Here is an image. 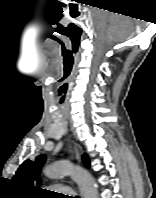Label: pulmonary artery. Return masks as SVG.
Returning a JSON list of instances; mask_svg holds the SVG:
<instances>
[{"instance_id":"pulmonary-artery-1","label":"pulmonary artery","mask_w":156,"mask_h":198,"mask_svg":"<svg viewBox=\"0 0 156 198\" xmlns=\"http://www.w3.org/2000/svg\"><path fill=\"white\" fill-rule=\"evenodd\" d=\"M54 189L64 193H68L70 191V188L67 186H55Z\"/></svg>"}]
</instances>
